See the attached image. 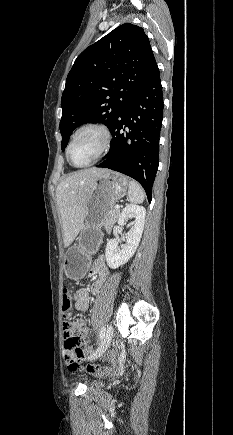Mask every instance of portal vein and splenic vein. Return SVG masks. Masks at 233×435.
Masks as SVG:
<instances>
[{
    "label": "portal vein and splenic vein",
    "instance_id": "obj_1",
    "mask_svg": "<svg viewBox=\"0 0 233 435\" xmlns=\"http://www.w3.org/2000/svg\"><path fill=\"white\" fill-rule=\"evenodd\" d=\"M115 208H116V209H119L120 207H119V206H116Z\"/></svg>",
    "mask_w": 233,
    "mask_h": 435
}]
</instances>
